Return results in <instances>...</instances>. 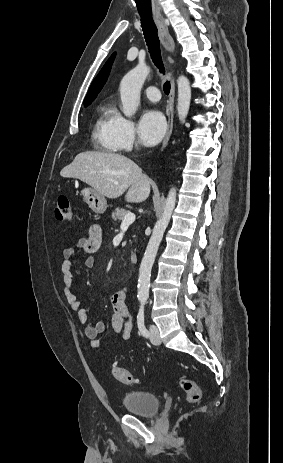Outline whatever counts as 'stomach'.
Here are the masks:
<instances>
[{
	"label": "stomach",
	"instance_id": "obj_1",
	"mask_svg": "<svg viewBox=\"0 0 283 463\" xmlns=\"http://www.w3.org/2000/svg\"><path fill=\"white\" fill-rule=\"evenodd\" d=\"M81 194L83 195L84 201L93 212L102 214L106 211L107 200L105 196L94 188L86 187L81 191Z\"/></svg>",
	"mask_w": 283,
	"mask_h": 463
}]
</instances>
